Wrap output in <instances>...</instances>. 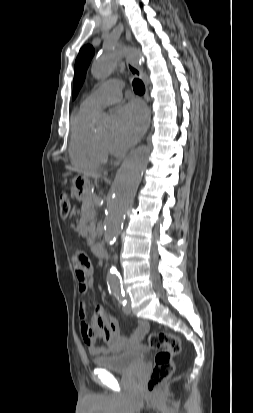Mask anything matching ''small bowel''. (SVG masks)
Wrapping results in <instances>:
<instances>
[{
	"label": "small bowel",
	"mask_w": 253,
	"mask_h": 413,
	"mask_svg": "<svg viewBox=\"0 0 253 413\" xmlns=\"http://www.w3.org/2000/svg\"><path fill=\"white\" fill-rule=\"evenodd\" d=\"M73 262L76 266L78 291L84 294L92 285L93 268L81 251L74 253ZM79 317L82 338L93 355L116 353L135 346L145 338L149 331L148 323L140 320L134 329L122 334L117 320L108 315L101 305H96L92 320L88 322L86 306L80 303ZM99 339L105 342V346L97 344Z\"/></svg>",
	"instance_id": "1"
}]
</instances>
